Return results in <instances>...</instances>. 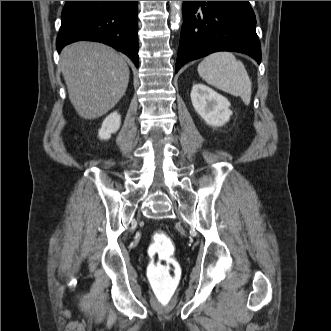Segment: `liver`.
I'll use <instances>...</instances> for the list:
<instances>
[{"label":"liver","instance_id":"6515ba94","mask_svg":"<svg viewBox=\"0 0 331 331\" xmlns=\"http://www.w3.org/2000/svg\"><path fill=\"white\" fill-rule=\"evenodd\" d=\"M61 70L69 99L78 115L95 119L123 97L129 82L125 60L112 48L96 42H75L61 53Z\"/></svg>","mask_w":331,"mask_h":331}]
</instances>
